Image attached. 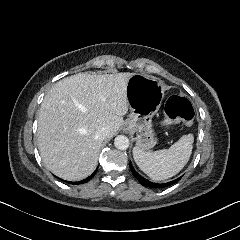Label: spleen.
Here are the masks:
<instances>
[{
    "label": "spleen",
    "instance_id": "1",
    "mask_svg": "<svg viewBox=\"0 0 240 240\" xmlns=\"http://www.w3.org/2000/svg\"><path fill=\"white\" fill-rule=\"evenodd\" d=\"M194 142L193 133H189L182 136L169 149L150 153L134 147L133 158L139 169L153 181H165L178 175L188 164Z\"/></svg>",
    "mask_w": 240,
    "mask_h": 240
}]
</instances>
